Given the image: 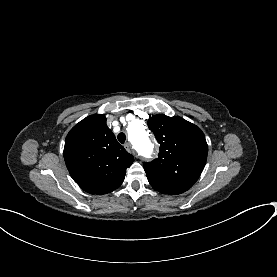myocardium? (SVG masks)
<instances>
[{
  "label": "myocardium",
  "mask_w": 277,
  "mask_h": 277,
  "mask_svg": "<svg viewBox=\"0 0 277 277\" xmlns=\"http://www.w3.org/2000/svg\"><path fill=\"white\" fill-rule=\"evenodd\" d=\"M126 138H127V141H128V144H129V146H130V148H131V150L135 153V151H134V149H133V147L130 145V143H129V140H128V137H127V134H126ZM136 154V153H135ZM137 155V154H136ZM139 156V155H138Z\"/></svg>",
  "instance_id": "1"
}]
</instances>
